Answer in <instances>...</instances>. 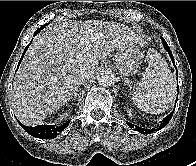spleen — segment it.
<instances>
[{"mask_svg":"<svg viewBox=\"0 0 196 166\" xmlns=\"http://www.w3.org/2000/svg\"><path fill=\"white\" fill-rule=\"evenodd\" d=\"M148 67L142 81L133 94V102L139 109L150 114L168 110L176 97V82L162 56L150 49Z\"/></svg>","mask_w":196,"mask_h":166,"instance_id":"1","label":"spleen"}]
</instances>
